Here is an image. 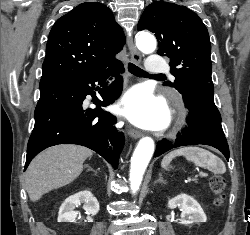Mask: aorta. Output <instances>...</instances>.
Instances as JSON below:
<instances>
[{"label":"aorta","mask_w":250,"mask_h":235,"mask_svg":"<svg viewBox=\"0 0 250 235\" xmlns=\"http://www.w3.org/2000/svg\"><path fill=\"white\" fill-rule=\"evenodd\" d=\"M140 51L149 54L156 49V39L149 33L141 32L136 40ZM154 152V141L150 137L142 138L131 158L130 187L133 193L139 189L143 175Z\"/></svg>","instance_id":"obj_1"}]
</instances>
